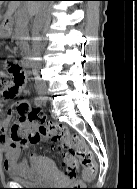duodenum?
<instances>
[{
    "label": "duodenum",
    "instance_id": "obj_1",
    "mask_svg": "<svg viewBox=\"0 0 137 189\" xmlns=\"http://www.w3.org/2000/svg\"><path fill=\"white\" fill-rule=\"evenodd\" d=\"M13 23H14L13 19H7L4 21L5 30L8 34H10L12 31Z\"/></svg>",
    "mask_w": 137,
    "mask_h": 189
}]
</instances>
